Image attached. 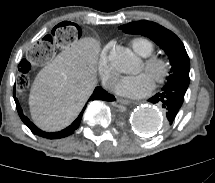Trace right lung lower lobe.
I'll return each instance as SVG.
<instances>
[{
    "label": "right lung lower lobe",
    "mask_w": 215,
    "mask_h": 183,
    "mask_svg": "<svg viewBox=\"0 0 215 183\" xmlns=\"http://www.w3.org/2000/svg\"><path fill=\"white\" fill-rule=\"evenodd\" d=\"M13 96H14V100L16 103L17 111H18L19 116L22 119V121L28 126V128L35 135H38V136H41V137H44L47 139H59V138L67 137V136L71 135L72 133H74V131L80 125L82 115H83V112L85 109V108L83 109V111L79 114L77 119L67 128H65L61 131H58V132H51V133L50 132H44V131L40 130L38 127H36L26 116L23 115V112H22V109H21L20 104L18 102V99L15 97V89L13 91ZM93 100L114 101L115 97L112 96L111 94H109L108 92H106L103 88L96 87L88 101H93Z\"/></svg>",
    "instance_id": "98d812e1"
}]
</instances>
